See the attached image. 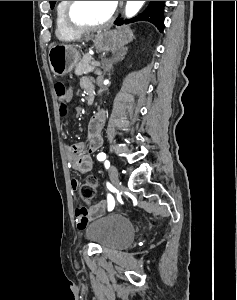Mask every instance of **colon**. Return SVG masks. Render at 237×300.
<instances>
[{
    "instance_id": "5ec220e1",
    "label": "colon",
    "mask_w": 237,
    "mask_h": 300,
    "mask_svg": "<svg viewBox=\"0 0 237 300\" xmlns=\"http://www.w3.org/2000/svg\"><path fill=\"white\" fill-rule=\"evenodd\" d=\"M55 92L59 101L63 103L60 108V113L65 117L67 115V107L65 104L70 102L67 98L68 90L62 82H57L55 84ZM96 187L97 179L94 176H89L86 181L79 186V196L81 200L89 204L95 196Z\"/></svg>"
}]
</instances>
